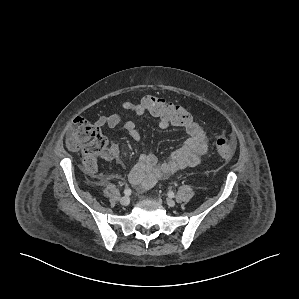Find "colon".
<instances>
[{"label":"colon","mask_w":299,"mask_h":299,"mask_svg":"<svg viewBox=\"0 0 299 299\" xmlns=\"http://www.w3.org/2000/svg\"><path fill=\"white\" fill-rule=\"evenodd\" d=\"M146 113L169 125L185 127L193 121L191 114L183 106L171 103L157 95L142 97ZM67 147L83 155V164L89 170L96 167V157L104 150L106 140L100 129L84 118L77 117L71 123L66 138ZM215 151L222 161H230L235 152L233 143L225 137L215 142Z\"/></svg>","instance_id":"colon-1"}]
</instances>
